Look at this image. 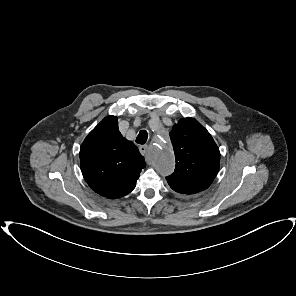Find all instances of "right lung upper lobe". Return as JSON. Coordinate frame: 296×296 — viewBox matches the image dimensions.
Returning <instances> with one entry per match:
<instances>
[{
  "label": "right lung upper lobe",
  "instance_id": "1",
  "mask_svg": "<svg viewBox=\"0 0 296 296\" xmlns=\"http://www.w3.org/2000/svg\"><path fill=\"white\" fill-rule=\"evenodd\" d=\"M81 171L96 193L120 198L136 186L146 164L133 142L118 129L117 117H105L85 138L80 148Z\"/></svg>",
  "mask_w": 296,
  "mask_h": 296
}]
</instances>
